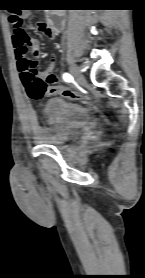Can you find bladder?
I'll return each mask as SVG.
<instances>
[{"label":"bladder","mask_w":145,"mask_h":278,"mask_svg":"<svg viewBox=\"0 0 145 278\" xmlns=\"http://www.w3.org/2000/svg\"><path fill=\"white\" fill-rule=\"evenodd\" d=\"M46 127H43L36 139L53 145L67 142L87 126L91 120L90 111L81 103L52 97L45 104Z\"/></svg>","instance_id":"obj_1"}]
</instances>
